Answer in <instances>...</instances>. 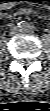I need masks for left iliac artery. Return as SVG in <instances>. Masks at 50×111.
Returning a JSON list of instances; mask_svg holds the SVG:
<instances>
[{
	"label": "left iliac artery",
	"instance_id": "left-iliac-artery-1",
	"mask_svg": "<svg viewBox=\"0 0 50 111\" xmlns=\"http://www.w3.org/2000/svg\"><path fill=\"white\" fill-rule=\"evenodd\" d=\"M34 30H35V27L30 25V26H29V31H30V32H33Z\"/></svg>",
	"mask_w": 50,
	"mask_h": 111
}]
</instances>
